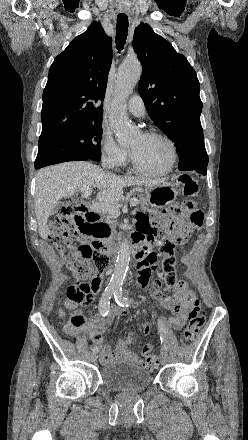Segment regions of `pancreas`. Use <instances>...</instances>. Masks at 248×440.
<instances>
[{
	"instance_id": "pancreas-1",
	"label": "pancreas",
	"mask_w": 248,
	"mask_h": 440,
	"mask_svg": "<svg viewBox=\"0 0 248 440\" xmlns=\"http://www.w3.org/2000/svg\"><path fill=\"white\" fill-rule=\"evenodd\" d=\"M139 203H140L142 209L147 208V199L145 197L139 196ZM113 222H115V220H113Z\"/></svg>"
}]
</instances>
